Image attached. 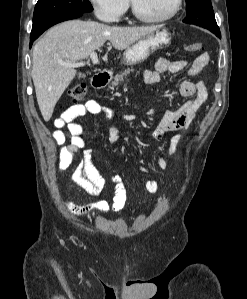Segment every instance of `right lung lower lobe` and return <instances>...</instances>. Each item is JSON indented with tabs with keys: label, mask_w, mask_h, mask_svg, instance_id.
<instances>
[{
	"label": "right lung lower lobe",
	"mask_w": 247,
	"mask_h": 299,
	"mask_svg": "<svg viewBox=\"0 0 247 299\" xmlns=\"http://www.w3.org/2000/svg\"><path fill=\"white\" fill-rule=\"evenodd\" d=\"M80 16H82V13H74V14H71V15H68V16H66V17H64V18H61V19H59V20H57V21H55V22H53V23H51L50 25H48L47 27H45L44 29H42L41 31H39L37 34H35V35H31V40H30V47H31V45H32V43L46 30V29H48L49 27H51L52 25H54V24H57V23H59V22H62V21H65V20H69V19H74V18H78V17H80Z\"/></svg>",
	"instance_id": "obj_1"
}]
</instances>
